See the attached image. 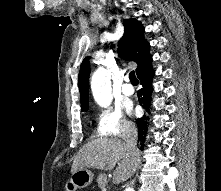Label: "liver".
Returning a JSON list of instances; mask_svg holds the SVG:
<instances>
[{
  "label": "liver",
  "instance_id": "1",
  "mask_svg": "<svg viewBox=\"0 0 221 191\" xmlns=\"http://www.w3.org/2000/svg\"><path fill=\"white\" fill-rule=\"evenodd\" d=\"M138 160L130 155L125 142L117 138L95 139L85 144L75 157L71 173L83 168L112 170L113 183L128 180L135 172Z\"/></svg>",
  "mask_w": 221,
  "mask_h": 191
}]
</instances>
